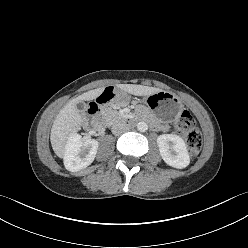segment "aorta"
I'll use <instances>...</instances> for the list:
<instances>
[{
  "label": "aorta",
  "mask_w": 248,
  "mask_h": 248,
  "mask_svg": "<svg viewBox=\"0 0 248 248\" xmlns=\"http://www.w3.org/2000/svg\"><path fill=\"white\" fill-rule=\"evenodd\" d=\"M137 129L140 131V132H145V131H147L148 130V125H147V123L146 122H139L138 124H137Z\"/></svg>",
  "instance_id": "aorta-1"
}]
</instances>
